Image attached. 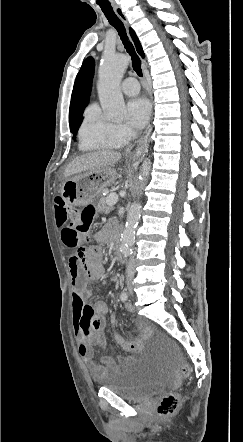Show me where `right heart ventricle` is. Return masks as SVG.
Here are the masks:
<instances>
[{
    "instance_id": "right-heart-ventricle-1",
    "label": "right heart ventricle",
    "mask_w": 243,
    "mask_h": 442,
    "mask_svg": "<svg viewBox=\"0 0 243 442\" xmlns=\"http://www.w3.org/2000/svg\"><path fill=\"white\" fill-rule=\"evenodd\" d=\"M121 141L115 136L113 125L106 120L97 105L88 106L79 128V148L82 151L115 148Z\"/></svg>"
}]
</instances>
